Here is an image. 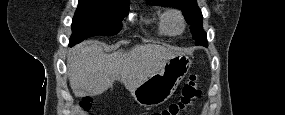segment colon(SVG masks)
<instances>
[{"label": "colon", "mask_w": 285, "mask_h": 115, "mask_svg": "<svg viewBox=\"0 0 285 115\" xmlns=\"http://www.w3.org/2000/svg\"><path fill=\"white\" fill-rule=\"evenodd\" d=\"M201 96L200 89V76L198 74H191L188 81L182 88V94L180 99L170 104L165 109L155 112L152 115H181L186 114L191 111L195 102ZM84 109L90 107V100L88 98L84 99L81 103Z\"/></svg>", "instance_id": "colon-1"}]
</instances>
